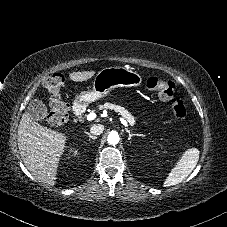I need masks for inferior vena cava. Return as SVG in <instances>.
<instances>
[{
  "label": "inferior vena cava",
  "instance_id": "obj_1",
  "mask_svg": "<svg viewBox=\"0 0 227 227\" xmlns=\"http://www.w3.org/2000/svg\"><path fill=\"white\" fill-rule=\"evenodd\" d=\"M104 131V126L102 124H94L90 128V132L93 135H100Z\"/></svg>",
  "mask_w": 227,
  "mask_h": 227
}]
</instances>
